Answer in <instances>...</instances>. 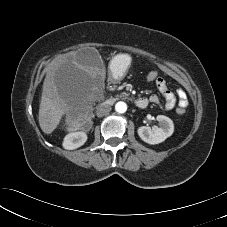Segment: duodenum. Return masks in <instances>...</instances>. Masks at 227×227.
<instances>
[{"label": "duodenum", "mask_w": 227, "mask_h": 227, "mask_svg": "<svg viewBox=\"0 0 227 227\" xmlns=\"http://www.w3.org/2000/svg\"><path fill=\"white\" fill-rule=\"evenodd\" d=\"M111 104H112L111 100L105 102V105H111ZM135 105L138 108H145L148 105V100L146 98H138V99L135 100Z\"/></svg>", "instance_id": "1"}]
</instances>
